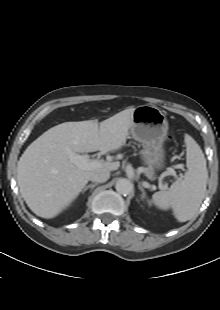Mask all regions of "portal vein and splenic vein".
Instances as JSON below:
<instances>
[{
  "mask_svg": "<svg viewBox=\"0 0 220 310\" xmlns=\"http://www.w3.org/2000/svg\"><path fill=\"white\" fill-rule=\"evenodd\" d=\"M68 157L71 163H73L82 170H91L98 168L102 165V163L98 160H90L89 155H79L75 152L69 151ZM177 168H179V165H177ZM168 172L170 175L178 178L176 175V171L173 168H170ZM163 188L166 189V185Z\"/></svg>",
  "mask_w": 220,
  "mask_h": 310,
  "instance_id": "18ae733b",
  "label": "portal vein and splenic vein"
}]
</instances>
